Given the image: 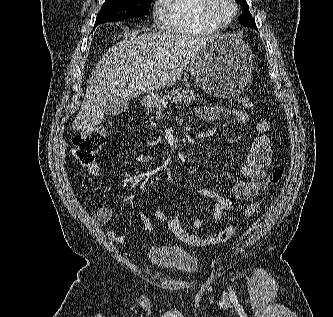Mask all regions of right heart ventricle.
I'll return each instance as SVG.
<instances>
[{
  "label": "right heart ventricle",
  "instance_id": "obj_1",
  "mask_svg": "<svg viewBox=\"0 0 333 317\" xmlns=\"http://www.w3.org/2000/svg\"><path fill=\"white\" fill-rule=\"evenodd\" d=\"M201 0H160L159 17L163 29L182 36L214 34L222 28L208 22L201 14Z\"/></svg>",
  "mask_w": 333,
  "mask_h": 317
}]
</instances>
